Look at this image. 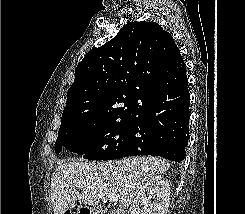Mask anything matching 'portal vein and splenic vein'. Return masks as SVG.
I'll return each instance as SVG.
<instances>
[{
  "label": "portal vein and splenic vein",
  "mask_w": 245,
  "mask_h": 214,
  "mask_svg": "<svg viewBox=\"0 0 245 214\" xmlns=\"http://www.w3.org/2000/svg\"><path fill=\"white\" fill-rule=\"evenodd\" d=\"M76 187H81V184H74ZM109 201H117L118 200V195L111 194L107 196Z\"/></svg>",
  "instance_id": "portal-vein-and-splenic-vein-1"
}]
</instances>
